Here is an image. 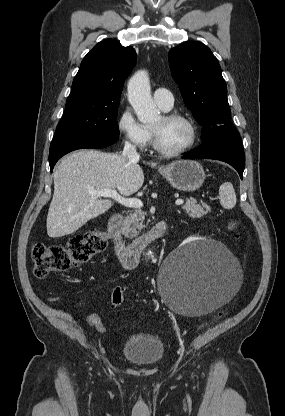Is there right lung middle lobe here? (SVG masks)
I'll use <instances>...</instances> for the list:
<instances>
[{
    "label": "right lung middle lobe",
    "instance_id": "dd1d6c3e",
    "mask_svg": "<svg viewBox=\"0 0 285 416\" xmlns=\"http://www.w3.org/2000/svg\"><path fill=\"white\" fill-rule=\"evenodd\" d=\"M119 99L81 100L68 97L55 135L88 134L119 136Z\"/></svg>",
    "mask_w": 285,
    "mask_h": 416
}]
</instances>
